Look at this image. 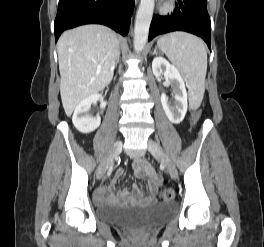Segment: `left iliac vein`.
Returning a JSON list of instances; mask_svg holds the SVG:
<instances>
[{
  "label": "left iliac vein",
  "instance_id": "4c4485c4",
  "mask_svg": "<svg viewBox=\"0 0 264 247\" xmlns=\"http://www.w3.org/2000/svg\"><path fill=\"white\" fill-rule=\"evenodd\" d=\"M148 150L155 158L162 160L170 176L173 179H176L177 178L176 166L173 163V161L164 153L160 145H158L155 141L150 139L148 141Z\"/></svg>",
  "mask_w": 264,
  "mask_h": 247
}]
</instances>
